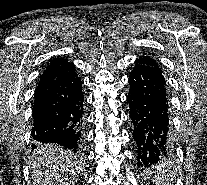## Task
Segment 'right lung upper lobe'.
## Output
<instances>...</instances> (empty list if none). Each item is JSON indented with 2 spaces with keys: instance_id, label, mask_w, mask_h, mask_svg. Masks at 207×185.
<instances>
[{
  "instance_id": "cb5924a9",
  "label": "right lung upper lobe",
  "mask_w": 207,
  "mask_h": 185,
  "mask_svg": "<svg viewBox=\"0 0 207 185\" xmlns=\"http://www.w3.org/2000/svg\"><path fill=\"white\" fill-rule=\"evenodd\" d=\"M75 74V67L66 59L53 58L43 72L38 86Z\"/></svg>"
}]
</instances>
